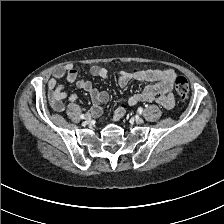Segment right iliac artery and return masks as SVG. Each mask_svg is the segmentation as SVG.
I'll use <instances>...</instances> for the list:
<instances>
[{
  "label": "right iliac artery",
  "instance_id": "1",
  "mask_svg": "<svg viewBox=\"0 0 224 224\" xmlns=\"http://www.w3.org/2000/svg\"><path fill=\"white\" fill-rule=\"evenodd\" d=\"M85 116H86V114H81V115H80V118H81V119H84Z\"/></svg>",
  "mask_w": 224,
  "mask_h": 224
}]
</instances>
